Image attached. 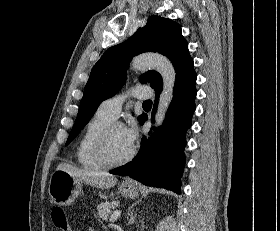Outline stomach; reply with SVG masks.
Listing matches in <instances>:
<instances>
[{
	"label": "stomach",
	"instance_id": "obj_1",
	"mask_svg": "<svg viewBox=\"0 0 280 231\" xmlns=\"http://www.w3.org/2000/svg\"><path fill=\"white\" fill-rule=\"evenodd\" d=\"M82 185L81 179H74L67 171L56 169L50 177L48 191L50 197L58 205H70L75 197L80 195ZM119 189L124 197H131V199L137 197L139 193L137 187L133 185V181L127 187L120 185Z\"/></svg>",
	"mask_w": 280,
	"mask_h": 231
}]
</instances>
